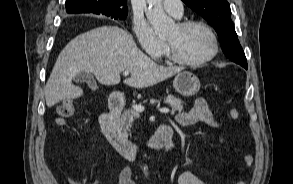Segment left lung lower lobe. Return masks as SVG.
<instances>
[{
	"label": "left lung lower lobe",
	"instance_id": "1",
	"mask_svg": "<svg viewBox=\"0 0 293 184\" xmlns=\"http://www.w3.org/2000/svg\"><path fill=\"white\" fill-rule=\"evenodd\" d=\"M237 64H240L241 66H243L245 69L248 68V65H247V61H238L236 62Z\"/></svg>",
	"mask_w": 293,
	"mask_h": 184
}]
</instances>
